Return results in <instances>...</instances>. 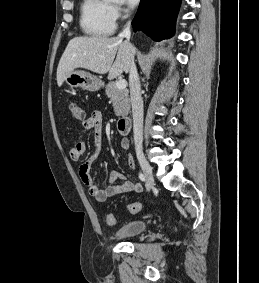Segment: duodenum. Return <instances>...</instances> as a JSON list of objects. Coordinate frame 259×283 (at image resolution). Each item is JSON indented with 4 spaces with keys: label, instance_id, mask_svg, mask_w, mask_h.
<instances>
[{
    "label": "duodenum",
    "instance_id": "obj_1",
    "mask_svg": "<svg viewBox=\"0 0 259 283\" xmlns=\"http://www.w3.org/2000/svg\"><path fill=\"white\" fill-rule=\"evenodd\" d=\"M117 128L121 135H127L131 128V118L127 116L120 118L117 123Z\"/></svg>",
    "mask_w": 259,
    "mask_h": 283
}]
</instances>
